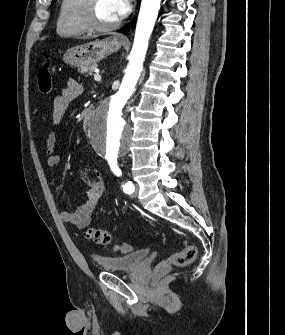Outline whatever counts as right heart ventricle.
I'll list each match as a JSON object with an SVG mask.
<instances>
[{
    "mask_svg": "<svg viewBox=\"0 0 285 335\" xmlns=\"http://www.w3.org/2000/svg\"><path fill=\"white\" fill-rule=\"evenodd\" d=\"M85 1H61L56 32L63 39H77L87 32Z\"/></svg>",
    "mask_w": 285,
    "mask_h": 335,
    "instance_id": "1",
    "label": "right heart ventricle"
}]
</instances>
